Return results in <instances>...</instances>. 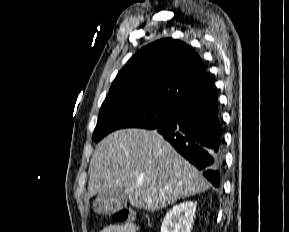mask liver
<instances>
[{"label":"liver","instance_id":"obj_1","mask_svg":"<svg viewBox=\"0 0 289 232\" xmlns=\"http://www.w3.org/2000/svg\"><path fill=\"white\" fill-rule=\"evenodd\" d=\"M88 197L120 188L134 207L155 211L209 189L208 181L157 131L117 130L98 143Z\"/></svg>","mask_w":289,"mask_h":232}]
</instances>
